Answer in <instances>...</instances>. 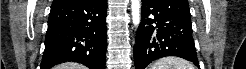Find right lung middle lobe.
<instances>
[{
    "label": "right lung middle lobe",
    "mask_w": 246,
    "mask_h": 69,
    "mask_svg": "<svg viewBox=\"0 0 246 69\" xmlns=\"http://www.w3.org/2000/svg\"><path fill=\"white\" fill-rule=\"evenodd\" d=\"M78 1H91V0H73V1H70V2H78Z\"/></svg>",
    "instance_id": "right-lung-middle-lobe-1"
}]
</instances>
